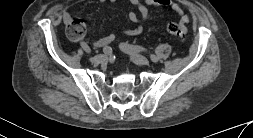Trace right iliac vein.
Masks as SVG:
<instances>
[{
	"mask_svg": "<svg viewBox=\"0 0 253 138\" xmlns=\"http://www.w3.org/2000/svg\"><path fill=\"white\" fill-rule=\"evenodd\" d=\"M107 60V56L104 54H99L91 58V61L95 64L104 63Z\"/></svg>",
	"mask_w": 253,
	"mask_h": 138,
	"instance_id": "1",
	"label": "right iliac vein"
}]
</instances>
